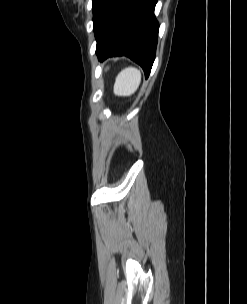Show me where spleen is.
I'll use <instances>...</instances> for the list:
<instances>
[{"instance_id": "3e777b00", "label": "spleen", "mask_w": 247, "mask_h": 304, "mask_svg": "<svg viewBox=\"0 0 247 304\" xmlns=\"http://www.w3.org/2000/svg\"><path fill=\"white\" fill-rule=\"evenodd\" d=\"M141 82V73L135 67L123 69L116 77L114 94L130 96L136 92Z\"/></svg>"}]
</instances>
